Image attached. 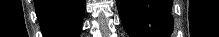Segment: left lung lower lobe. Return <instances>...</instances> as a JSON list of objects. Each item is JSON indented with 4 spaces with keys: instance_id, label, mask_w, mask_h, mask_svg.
Masks as SVG:
<instances>
[{
    "instance_id": "1",
    "label": "left lung lower lobe",
    "mask_w": 219,
    "mask_h": 37,
    "mask_svg": "<svg viewBox=\"0 0 219 37\" xmlns=\"http://www.w3.org/2000/svg\"><path fill=\"white\" fill-rule=\"evenodd\" d=\"M116 3L130 37H171L172 0H117Z\"/></svg>"
}]
</instances>
